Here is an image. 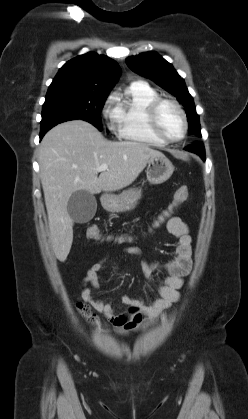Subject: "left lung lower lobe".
Here are the masks:
<instances>
[{"label":"left lung lower lobe","instance_id":"left-lung-lower-lobe-1","mask_svg":"<svg viewBox=\"0 0 248 419\" xmlns=\"http://www.w3.org/2000/svg\"><path fill=\"white\" fill-rule=\"evenodd\" d=\"M186 150L190 151V152H194L197 153L198 155L201 156V158L203 160H205V149L203 144L201 143H195L192 146H189L187 148H185Z\"/></svg>","mask_w":248,"mask_h":419}]
</instances>
